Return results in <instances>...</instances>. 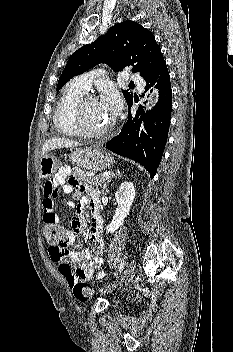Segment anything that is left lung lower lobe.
Segmentation results:
<instances>
[{
	"label": "left lung lower lobe",
	"instance_id": "obj_1",
	"mask_svg": "<svg viewBox=\"0 0 233 352\" xmlns=\"http://www.w3.org/2000/svg\"><path fill=\"white\" fill-rule=\"evenodd\" d=\"M145 81V92L157 82L155 87L159 90V100L156 106L143 115L137 112L136 116L132 117L129 113L123 129L104 144V147L140 163L152 178L156 174L166 145L172 111L171 83L165 61L154 74L145 78ZM132 105L133 100L128 104L129 110Z\"/></svg>",
	"mask_w": 233,
	"mask_h": 352
}]
</instances>
